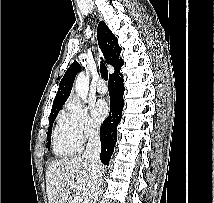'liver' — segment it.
Masks as SVG:
<instances>
[{"mask_svg": "<svg viewBox=\"0 0 214 203\" xmlns=\"http://www.w3.org/2000/svg\"><path fill=\"white\" fill-rule=\"evenodd\" d=\"M90 164L87 159L74 157L49 164L46 171V192L48 203H66L70 188L66 183H76V193L83 199L90 185Z\"/></svg>", "mask_w": 214, "mask_h": 203, "instance_id": "1", "label": "liver"}]
</instances>
